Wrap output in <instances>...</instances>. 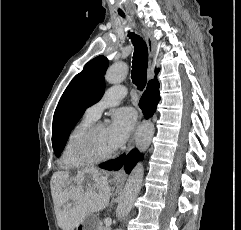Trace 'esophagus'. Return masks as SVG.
Returning a JSON list of instances; mask_svg holds the SVG:
<instances>
[{
	"mask_svg": "<svg viewBox=\"0 0 241 230\" xmlns=\"http://www.w3.org/2000/svg\"><path fill=\"white\" fill-rule=\"evenodd\" d=\"M143 35H144V38H145L146 43H147L149 55L152 58V57L155 56V44H154V41H153L152 37L148 33L143 32ZM140 120H141V116L139 118V121H138L137 125H139ZM134 141H135V129H134V131H133V133H132V135L130 137V140H129V143H128V147H127V150H126L127 153L134 147ZM123 174H124L123 168H121L120 170L115 172V176H122Z\"/></svg>",
	"mask_w": 241,
	"mask_h": 230,
	"instance_id": "1",
	"label": "esophagus"
}]
</instances>
